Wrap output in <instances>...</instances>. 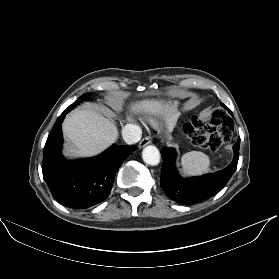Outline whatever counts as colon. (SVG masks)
I'll use <instances>...</instances> for the list:
<instances>
[{
  "label": "colon",
  "instance_id": "5ec220e1",
  "mask_svg": "<svg viewBox=\"0 0 279 279\" xmlns=\"http://www.w3.org/2000/svg\"><path fill=\"white\" fill-rule=\"evenodd\" d=\"M192 143L200 148L215 150L228 142L233 134V123L221 111L199 116L191 122Z\"/></svg>",
  "mask_w": 279,
  "mask_h": 279
}]
</instances>
